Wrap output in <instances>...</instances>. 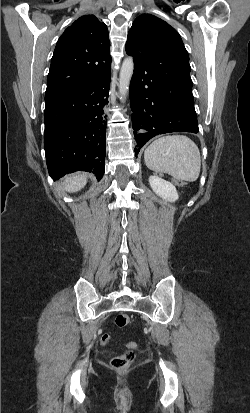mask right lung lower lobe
I'll return each instance as SVG.
<instances>
[{
  "label": "right lung lower lobe",
  "instance_id": "right-lung-lower-lobe-1",
  "mask_svg": "<svg viewBox=\"0 0 250 413\" xmlns=\"http://www.w3.org/2000/svg\"><path fill=\"white\" fill-rule=\"evenodd\" d=\"M110 74L63 91L45 95L44 148L54 180L78 170L105 171L106 113Z\"/></svg>",
  "mask_w": 250,
  "mask_h": 413
}]
</instances>
